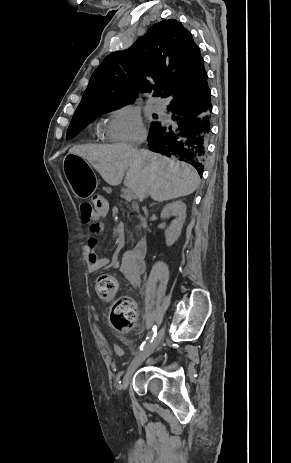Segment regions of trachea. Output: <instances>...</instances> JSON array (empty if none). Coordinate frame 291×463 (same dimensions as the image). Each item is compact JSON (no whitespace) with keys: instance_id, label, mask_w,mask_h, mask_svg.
<instances>
[{"instance_id":"obj_1","label":"trachea","mask_w":291,"mask_h":463,"mask_svg":"<svg viewBox=\"0 0 291 463\" xmlns=\"http://www.w3.org/2000/svg\"><path fill=\"white\" fill-rule=\"evenodd\" d=\"M157 95L159 96V95H160V92H159V93H157Z\"/></svg>"}]
</instances>
